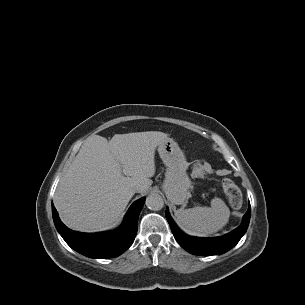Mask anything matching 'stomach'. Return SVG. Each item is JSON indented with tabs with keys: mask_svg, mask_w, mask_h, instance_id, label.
Wrapping results in <instances>:
<instances>
[{
	"mask_svg": "<svg viewBox=\"0 0 305 305\" xmlns=\"http://www.w3.org/2000/svg\"><path fill=\"white\" fill-rule=\"evenodd\" d=\"M160 158L167 167L163 190L167 198L183 205L190 197L192 182L186 172L188 163L183 151L171 138L165 139L158 145Z\"/></svg>",
	"mask_w": 305,
	"mask_h": 305,
	"instance_id": "0dacf381",
	"label": "stomach"
}]
</instances>
